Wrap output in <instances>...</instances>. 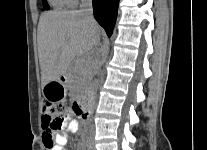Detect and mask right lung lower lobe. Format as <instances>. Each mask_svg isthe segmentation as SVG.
I'll return each mask as SVG.
<instances>
[{
	"instance_id": "98d812e1",
	"label": "right lung lower lobe",
	"mask_w": 207,
	"mask_h": 150,
	"mask_svg": "<svg viewBox=\"0 0 207 150\" xmlns=\"http://www.w3.org/2000/svg\"><path fill=\"white\" fill-rule=\"evenodd\" d=\"M94 17L105 29L108 36H111L117 16L119 0H92Z\"/></svg>"
}]
</instances>
